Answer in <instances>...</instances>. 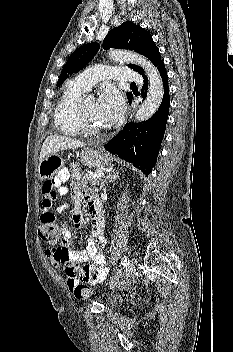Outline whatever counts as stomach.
Returning a JSON list of instances; mask_svg holds the SVG:
<instances>
[{
	"label": "stomach",
	"instance_id": "0dacf381",
	"mask_svg": "<svg viewBox=\"0 0 233 352\" xmlns=\"http://www.w3.org/2000/svg\"><path fill=\"white\" fill-rule=\"evenodd\" d=\"M82 162L90 167L100 169L111 163V159L97 147L87 148L80 154ZM64 167V160L56 154L49 155L39 163L38 176L41 180L51 179Z\"/></svg>",
	"mask_w": 233,
	"mask_h": 352
}]
</instances>
